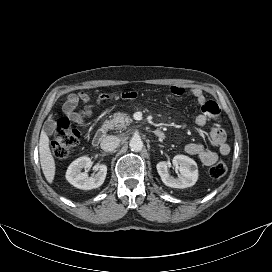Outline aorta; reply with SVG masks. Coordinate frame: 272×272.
I'll list each match as a JSON object with an SVG mask.
<instances>
[{
  "label": "aorta",
  "mask_w": 272,
  "mask_h": 272,
  "mask_svg": "<svg viewBox=\"0 0 272 272\" xmlns=\"http://www.w3.org/2000/svg\"><path fill=\"white\" fill-rule=\"evenodd\" d=\"M130 149L139 152L143 148V141L139 137H133L129 142Z\"/></svg>",
  "instance_id": "1"
}]
</instances>
